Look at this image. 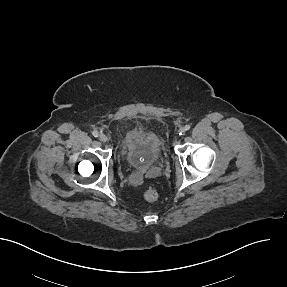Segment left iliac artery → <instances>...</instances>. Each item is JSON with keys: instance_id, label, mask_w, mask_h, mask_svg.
Listing matches in <instances>:
<instances>
[{"instance_id": "44dca946", "label": "left iliac artery", "mask_w": 287, "mask_h": 287, "mask_svg": "<svg viewBox=\"0 0 287 287\" xmlns=\"http://www.w3.org/2000/svg\"><path fill=\"white\" fill-rule=\"evenodd\" d=\"M190 127H191V126H190V125H188V124H187V125H185V127H184V128H185V131H188V130L190 129Z\"/></svg>"}]
</instances>
